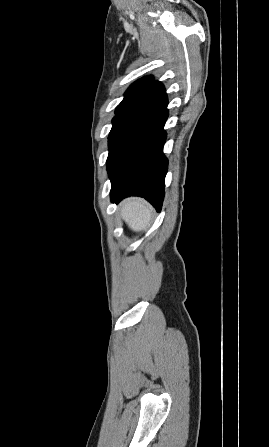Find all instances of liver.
<instances>
[{
    "mask_svg": "<svg viewBox=\"0 0 269 447\" xmlns=\"http://www.w3.org/2000/svg\"><path fill=\"white\" fill-rule=\"evenodd\" d=\"M120 216L131 229L141 231L151 220V208L140 198H128L122 204Z\"/></svg>",
    "mask_w": 269,
    "mask_h": 447,
    "instance_id": "1",
    "label": "liver"
}]
</instances>
